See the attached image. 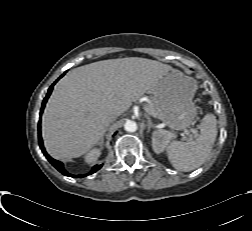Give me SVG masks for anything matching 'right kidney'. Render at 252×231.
<instances>
[{"label":"right kidney","mask_w":252,"mask_h":231,"mask_svg":"<svg viewBox=\"0 0 252 231\" xmlns=\"http://www.w3.org/2000/svg\"><path fill=\"white\" fill-rule=\"evenodd\" d=\"M100 150L99 149H92L85 155V161L87 163L95 162L98 157L100 156Z\"/></svg>","instance_id":"1"}]
</instances>
